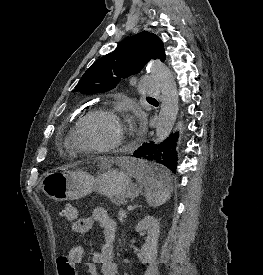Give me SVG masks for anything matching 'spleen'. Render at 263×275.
<instances>
[{
	"mask_svg": "<svg viewBox=\"0 0 263 275\" xmlns=\"http://www.w3.org/2000/svg\"><path fill=\"white\" fill-rule=\"evenodd\" d=\"M127 159V158H126ZM122 167L144 186L147 203L151 207L165 204L171 197V189L163 181L149 174L150 166L142 160L127 159Z\"/></svg>",
	"mask_w": 263,
	"mask_h": 275,
	"instance_id": "1",
	"label": "spleen"
}]
</instances>
